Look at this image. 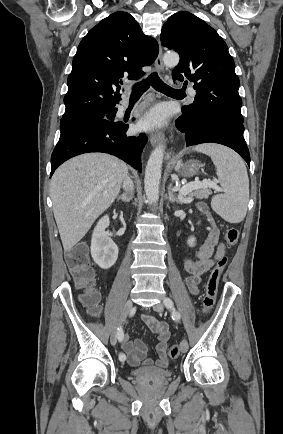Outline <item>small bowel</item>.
<instances>
[{"instance_id":"c3829d8e","label":"small bowel","mask_w":283,"mask_h":434,"mask_svg":"<svg viewBox=\"0 0 283 434\" xmlns=\"http://www.w3.org/2000/svg\"><path fill=\"white\" fill-rule=\"evenodd\" d=\"M198 208L209 220L210 229L203 245L196 253L197 260L185 259L183 262L184 269L188 273L185 278V284L191 294L198 293V286L201 277L206 273L217 260L224 257L225 246L220 241V232L205 204H198ZM142 322L157 335L158 343L156 345L157 359L154 361L146 357L147 346L140 339H130L126 334L121 341V348L127 356V361L131 366H157L166 368L169 360L167 357V344L170 338L169 328L166 323L158 321L151 315H143Z\"/></svg>"}]
</instances>
